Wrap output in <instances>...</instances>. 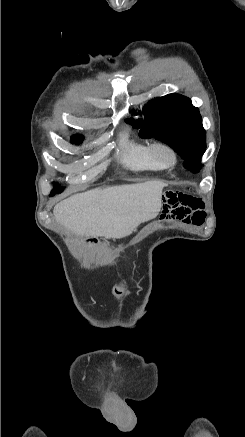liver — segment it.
Here are the masks:
<instances>
[{"label":"liver","instance_id":"1","mask_svg":"<svg viewBox=\"0 0 245 437\" xmlns=\"http://www.w3.org/2000/svg\"><path fill=\"white\" fill-rule=\"evenodd\" d=\"M164 187L153 180L74 194L54 207V217L77 236L120 239L156 218Z\"/></svg>","mask_w":245,"mask_h":437}]
</instances>
